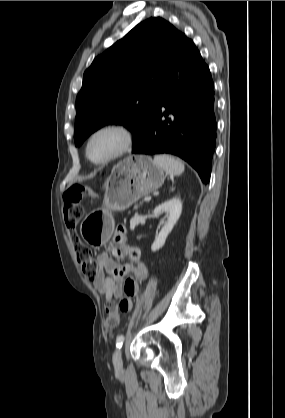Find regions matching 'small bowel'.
Returning <instances> with one entry per match:
<instances>
[{
    "label": "small bowel",
    "instance_id": "1",
    "mask_svg": "<svg viewBox=\"0 0 285 418\" xmlns=\"http://www.w3.org/2000/svg\"><path fill=\"white\" fill-rule=\"evenodd\" d=\"M111 249L115 251L118 259L128 257L135 263L133 271L129 265H120L107 252L97 256L99 271L92 280L97 290L104 295L105 300L121 298L119 306L122 311L129 312L132 308V297L142 293V288L138 284L148 277V268L141 260V252L138 248L129 247L124 232L117 233Z\"/></svg>",
    "mask_w": 285,
    "mask_h": 418
}]
</instances>
